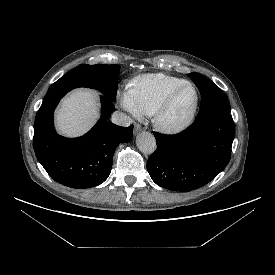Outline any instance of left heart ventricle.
<instances>
[{
    "label": "left heart ventricle",
    "mask_w": 275,
    "mask_h": 275,
    "mask_svg": "<svg viewBox=\"0 0 275 275\" xmlns=\"http://www.w3.org/2000/svg\"><path fill=\"white\" fill-rule=\"evenodd\" d=\"M194 100V93L191 88H183L175 97L170 107L166 120L168 122H177L183 119L189 112Z\"/></svg>",
    "instance_id": "left-heart-ventricle-1"
}]
</instances>
